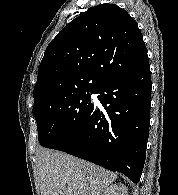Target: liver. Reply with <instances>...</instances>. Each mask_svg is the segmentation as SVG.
Instances as JSON below:
<instances>
[{
	"mask_svg": "<svg viewBox=\"0 0 178 195\" xmlns=\"http://www.w3.org/2000/svg\"><path fill=\"white\" fill-rule=\"evenodd\" d=\"M37 171L41 195H101L116 180L113 172L51 150L40 152Z\"/></svg>",
	"mask_w": 178,
	"mask_h": 195,
	"instance_id": "6515ba94",
	"label": "liver"
}]
</instances>
